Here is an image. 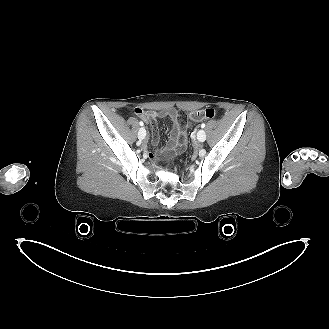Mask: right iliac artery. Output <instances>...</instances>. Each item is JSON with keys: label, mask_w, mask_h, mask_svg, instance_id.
<instances>
[{"label": "right iliac artery", "mask_w": 329, "mask_h": 329, "mask_svg": "<svg viewBox=\"0 0 329 329\" xmlns=\"http://www.w3.org/2000/svg\"><path fill=\"white\" fill-rule=\"evenodd\" d=\"M139 125H140V126H143V125H144V123H143L142 121H140V122H139Z\"/></svg>", "instance_id": "obj_1"}]
</instances>
